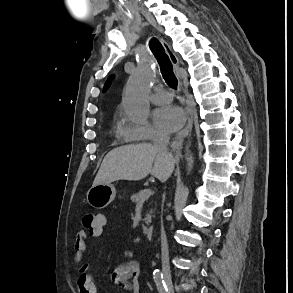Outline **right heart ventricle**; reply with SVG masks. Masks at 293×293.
Returning a JSON list of instances; mask_svg holds the SVG:
<instances>
[{
	"instance_id": "obj_1",
	"label": "right heart ventricle",
	"mask_w": 293,
	"mask_h": 293,
	"mask_svg": "<svg viewBox=\"0 0 293 293\" xmlns=\"http://www.w3.org/2000/svg\"><path fill=\"white\" fill-rule=\"evenodd\" d=\"M120 131L123 133L124 132V128L120 127Z\"/></svg>"
}]
</instances>
